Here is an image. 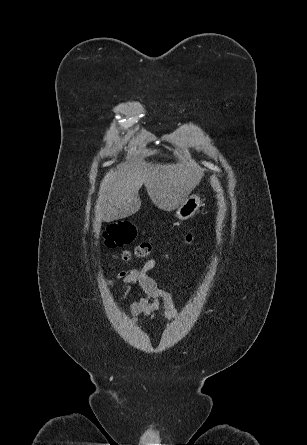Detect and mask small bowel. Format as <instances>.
Returning a JSON list of instances; mask_svg holds the SVG:
<instances>
[{"label":"small bowel","instance_id":"small-bowel-1","mask_svg":"<svg viewBox=\"0 0 307 445\" xmlns=\"http://www.w3.org/2000/svg\"><path fill=\"white\" fill-rule=\"evenodd\" d=\"M154 259L149 260L142 268L122 271L114 278L123 282L124 295H126L133 284H137L144 296L128 305L129 312L133 316L143 314L150 316L154 310L162 305L167 319H173L177 315V309L170 292L160 288L149 272L156 267ZM113 279L108 280V286H112Z\"/></svg>","mask_w":307,"mask_h":445}]
</instances>
